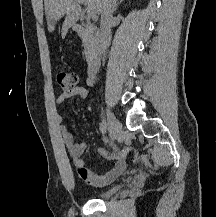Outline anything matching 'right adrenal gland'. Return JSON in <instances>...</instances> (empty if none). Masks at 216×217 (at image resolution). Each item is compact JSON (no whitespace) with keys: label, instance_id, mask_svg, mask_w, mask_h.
Listing matches in <instances>:
<instances>
[{"label":"right adrenal gland","instance_id":"obj_1","mask_svg":"<svg viewBox=\"0 0 216 217\" xmlns=\"http://www.w3.org/2000/svg\"><path fill=\"white\" fill-rule=\"evenodd\" d=\"M124 0H120L116 6V9H118V7L120 6V4L123 2Z\"/></svg>","mask_w":216,"mask_h":217}]
</instances>
